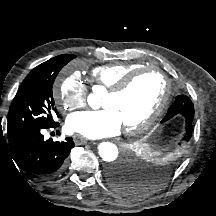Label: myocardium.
<instances>
[{
	"instance_id": "myocardium-1",
	"label": "myocardium",
	"mask_w": 216,
	"mask_h": 216,
	"mask_svg": "<svg viewBox=\"0 0 216 216\" xmlns=\"http://www.w3.org/2000/svg\"><path fill=\"white\" fill-rule=\"evenodd\" d=\"M149 71L156 72L162 77L164 81L163 96L158 106L143 121L131 127H124V132L126 134L133 135L148 130L163 115V113L165 112L169 104V100L171 97L170 81L167 75L160 68L155 66H143L124 76L115 86L108 89L107 91V94L110 95H114V96L121 95L129 89L131 84L138 76Z\"/></svg>"
}]
</instances>
